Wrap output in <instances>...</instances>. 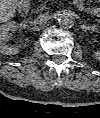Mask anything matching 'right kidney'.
<instances>
[{
  "instance_id": "right-kidney-1",
  "label": "right kidney",
  "mask_w": 100,
  "mask_h": 118,
  "mask_svg": "<svg viewBox=\"0 0 100 118\" xmlns=\"http://www.w3.org/2000/svg\"><path fill=\"white\" fill-rule=\"evenodd\" d=\"M19 25L15 21L5 22L0 26V52L5 55H12L19 52L21 45L9 46L7 41L11 32H15Z\"/></svg>"
}]
</instances>
